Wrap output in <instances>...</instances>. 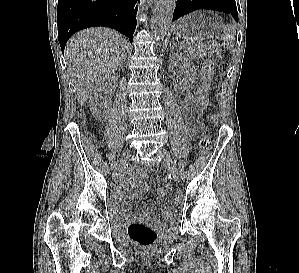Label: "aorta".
Here are the masks:
<instances>
[{"label": "aorta", "mask_w": 299, "mask_h": 273, "mask_svg": "<svg viewBox=\"0 0 299 273\" xmlns=\"http://www.w3.org/2000/svg\"><path fill=\"white\" fill-rule=\"evenodd\" d=\"M176 5V0H157L152 19V33L163 41L168 33Z\"/></svg>", "instance_id": "762f6f07"}]
</instances>
